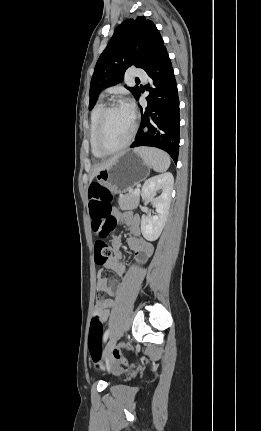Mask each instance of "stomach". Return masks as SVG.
<instances>
[{
	"mask_svg": "<svg viewBox=\"0 0 261 431\" xmlns=\"http://www.w3.org/2000/svg\"><path fill=\"white\" fill-rule=\"evenodd\" d=\"M150 166L136 150L123 152L117 160L97 173L98 183L113 193L127 191L145 180Z\"/></svg>",
	"mask_w": 261,
	"mask_h": 431,
	"instance_id": "1",
	"label": "stomach"
}]
</instances>
